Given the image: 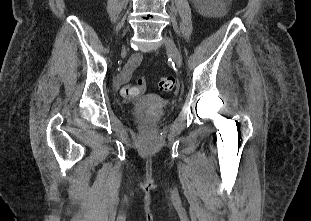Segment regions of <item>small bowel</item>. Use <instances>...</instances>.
<instances>
[{
	"label": "small bowel",
	"instance_id": "small-bowel-1",
	"mask_svg": "<svg viewBox=\"0 0 311 221\" xmlns=\"http://www.w3.org/2000/svg\"><path fill=\"white\" fill-rule=\"evenodd\" d=\"M142 60V56L141 55H137L134 59V62L137 63V62H140Z\"/></svg>",
	"mask_w": 311,
	"mask_h": 221
}]
</instances>
